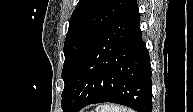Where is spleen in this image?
Instances as JSON below:
<instances>
[{"label": "spleen", "instance_id": "3e777b00", "mask_svg": "<svg viewBox=\"0 0 193 112\" xmlns=\"http://www.w3.org/2000/svg\"><path fill=\"white\" fill-rule=\"evenodd\" d=\"M96 112H132V110L119 106L101 105Z\"/></svg>", "mask_w": 193, "mask_h": 112}]
</instances>
